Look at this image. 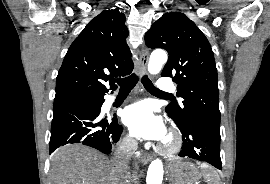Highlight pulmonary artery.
<instances>
[{"mask_svg": "<svg viewBox=\"0 0 270 184\" xmlns=\"http://www.w3.org/2000/svg\"><path fill=\"white\" fill-rule=\"evenodd\" d=\"M158 89L163 93L173 92L175 90V86L173 82L167 78H161L158 81Z\"/></svg>", "mask_w": 270, "mask_h": 184, "instance_id": "obj_1", "label": "pulmonary artery"}]
</instances>
